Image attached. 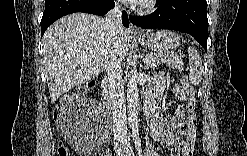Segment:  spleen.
Segmentation results:
<instances>
[{"mask_svg": "<svg viewBox=\"0 0 247 156\" xmlns=\"http://www.w3.org/2000/svg\"><path fill=\"white\" fill-rule=\"evenodd\" d=\"M189 57V80L193 85H199L202 81L203 67L199 53L193 48H188Z\"/></svg>", "mask_w": 247, "mask_h": 156, "instance_id": "obj_1", "label": "spleen"}]
</instances>
